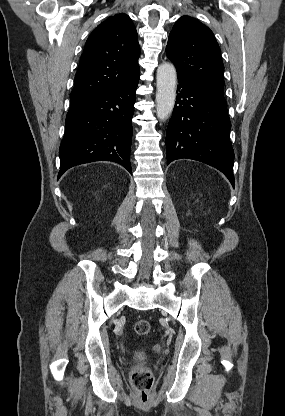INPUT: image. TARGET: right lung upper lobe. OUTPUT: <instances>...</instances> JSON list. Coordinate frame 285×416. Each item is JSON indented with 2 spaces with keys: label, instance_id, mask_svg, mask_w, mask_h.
Segmentation results:
<instances>
[{
  "label": "right lung upper lobe",
  "instance_id": "right-lung-upper-lobe-1",
  "mask_svg": "<svg viewBox=\"0 0 285 416\" xmlns=\"http://www.w3.org/2000/svg\"><path fill=\"white\" fill-rule=\"evenodd\" d=\"M140 46L126 14L109 17L90 34L80 59L70 105L100 95L138 76Z\"/></svg>",
  "mask_w": 285,
  "mask_h": 416
}]
</instances>
